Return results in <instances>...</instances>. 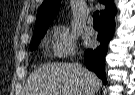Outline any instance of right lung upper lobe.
Instances as JSON below:
<instances>
[{
	"label": "right lung upper lobe",
	"instance_id": "1",
	"mask_svg": "<svg viewBox=\"0 0 135 95\" xmlns=\"http://www.w3.org/2000/svg\"><path fill=\"white\" fill-rule=\"evenodd\" d=\"M106 6L105 10L100 11L101 20L104 18H112L116 14L113 0H98ZM61 0H45L39 8L34 32L47 31L50 23L55 18Z\"/></svg>",
	"mask_w": 135,
	"mask_h": 95
}]
</instances>
